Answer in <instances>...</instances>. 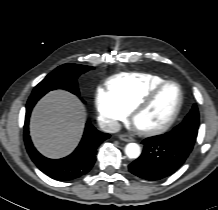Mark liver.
Masks as SVG:
<instances>
[{"label": "liver", "mask_w": 218, "mask_h": 210, "mask_svg": "<svg viewBox=\"0 0 218 210\" xmlns=\"http://www.w3.org/2000/svg\"><path fill=\"white\" fill-rule=\"evenodd\" d=\"M86 110L79 99L64 90L45 95L34 108L30 135L43 155L60 158L71 153L79 143Z\"/></svg>", "instance_id": "6515ba94"}]
</instances>
